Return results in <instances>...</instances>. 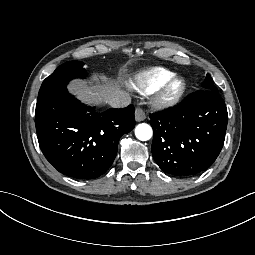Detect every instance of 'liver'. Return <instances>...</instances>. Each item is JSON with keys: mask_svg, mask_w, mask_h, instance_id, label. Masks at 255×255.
<instances>
[{"mask_svg": "<svg viewBox=\"0 0 255 255\" xmlns=\"http://www.w3.org/2000/svg\"><path fill=\"white\" fill-rule=\"evenodd\" d=\"M123 72H125V69L119 72V75L121 77L115 82H107V79L105 77H101V79L106 83L96 84L88 87L85 81L73 80L70 82L68 89L71 93L75 94L77 98L80 99L82 102L98 105L106 102L108 96L114 95L119 91L128 95L127 92L121 90V85L123 84L124 80ZM92 80L98 81L99 78L94 75L92 77Z\"/></svg>", "mask_w": 255, "mask_h": 255, "instance_id": "6515ba94", "label": "liver"}]
</instances>
